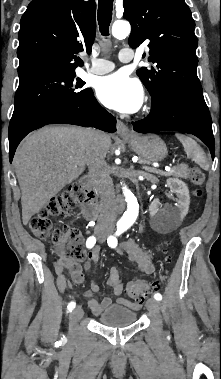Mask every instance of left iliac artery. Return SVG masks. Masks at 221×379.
Returning <instances> with one entry per match:
<instances>
[{"label": "left iliac artery", "instance_id": "obj_1", "mask_svg": "<svg viewBox=\"0 0 221 379\" xmlns=\"http://www.w3.org/2000/svg\"><path fill=\"white\" fill-rule=\"evenodd\" d=\"M124 231H125V228L118 227L115 235L109 236V238L107 239V243H108L109 247L115 248L117 246V243H118L117 236L121 235ZM154 298L157 301H160V300H162V295L160 293H155Z\"/></svg>", "mask_w": 221, "mask_h": 379}]
</instances>
